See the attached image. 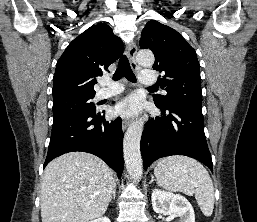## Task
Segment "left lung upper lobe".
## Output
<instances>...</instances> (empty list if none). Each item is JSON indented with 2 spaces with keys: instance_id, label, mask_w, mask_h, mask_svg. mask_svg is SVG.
<instances>
[{
  "instance_id": "5c2ea615",
  "label": "left lung upper lobe",
  "mask_w": 257,
  "mask_h": 222,
  "mask_svg": "<svg viewBox=\"0 0 257 222\" xmlns=\"http://www.w3.org/2000/svg\"><path fill=\"white\" fill-rule=\"evenodd\" d=\"M140 47L153 51V69L162 73L158 81L167 91L166 96H154L155 104L164 109L171 104H180L202 110L200 65L195 50L182 35L151 20L142 31Z\"/></svg>"
}]
</instances>
